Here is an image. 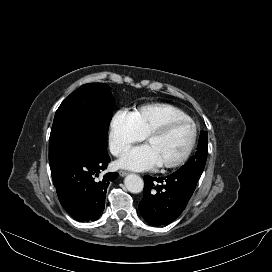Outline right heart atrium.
I'll list each match as a JSON object with an SVG mask.
<instances>
[{
	"instance_id": "d8ad5b80",
	"label": "right heart atrium",
	"mask_w": 272,
	"mask_h": 272,
	"mask_svg": "<svg viewBox=\"0 0 272 272\" xmlns=\"http://www.w3.org/2000/svg\"><path fill=\"white\" fill-rule=\"evenodd\" d=\"M144 135L138 130L133 113L127 109L117 110L109 123L108 140L111 152L119 156L131 144L142 140Z\"/></svg>"
}]
</instances>
